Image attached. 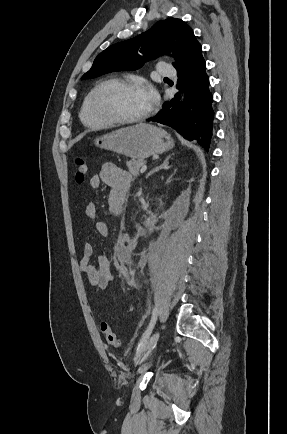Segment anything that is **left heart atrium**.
Returning a JSON list of instances; mask_svg holds the SVG:
<instances>
[{"label": "left heart atrium", "instance_id": "obj_1", "mask_svg": "<svg viewBox=\"0 0 287 434\" xmlns=\"http://www.w3.org/2000/svg\"><path fill=\"white\" fill-rule=\"evenodd\" d=\"M144 92H145V96H146L148 104H149V108H151L157 102V99H158L157 94L154 91V89L150 86L144 87Z\"/></svg>", "mask_w": 287, "mask_h": 434}]
</instances>
